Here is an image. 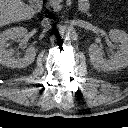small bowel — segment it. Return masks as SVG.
Here are the masks:
<instances>
[{"label":"small bowel","instance_id":"c3829d8e","mask_svg":"<svg viewBox=\"0 0 128 128\" xmlns=\"http://www.w3.org/2000/svg\"><path fill=\"white\" fill-rule=\"evenodd\" d=\"M80 6L89 8V0H79Z\"/></svg>","mask_w":128,"mask_h":128}]
</instances>
